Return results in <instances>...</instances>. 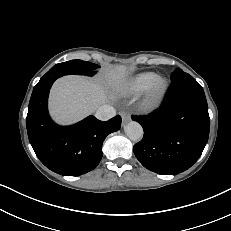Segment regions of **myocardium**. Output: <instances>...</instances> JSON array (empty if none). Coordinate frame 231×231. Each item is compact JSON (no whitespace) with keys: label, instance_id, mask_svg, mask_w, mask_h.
I'll use <instances>...</instances> for the list:
<instances>
[{"label":"myocardium","instance_id":"f54148a6","mask_svg":"<svg viewBox=\"0 0 231 231\" xmlns=\"http://www.w3.org/2000/svg\"><path fill=\"white\" fill-rule=\"evenodd\" d=\"M168 81L164 77H157L154 83L147 89L142 101L141 108L144 111L156 109L164 100L167 90Z\"/></svg>","mask_w":231,"mask_h":231}]
</instances>
